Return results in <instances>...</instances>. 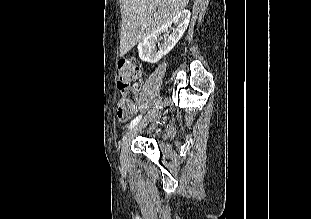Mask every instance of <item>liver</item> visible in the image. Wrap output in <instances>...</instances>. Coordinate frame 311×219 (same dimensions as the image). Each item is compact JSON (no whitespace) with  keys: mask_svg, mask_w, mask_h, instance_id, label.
<instances>
[{"mask_svg":"<svg viewBox=\"0 0 311 219\" xmlns=\"http://www.w3.org/2000/svg\"><path fill=\"white\" fill-rule=\"evenodd\" d=\"M189 0H120V56L182 12Z\"/></svg>","mask_w":311,"mask_h":219,"instance_id":"6515ba94","label":"liver"}]
</instances>
